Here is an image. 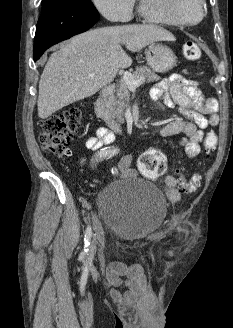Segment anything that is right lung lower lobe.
<instances>
[{"mask_svg":"<svg viewBox=\"0 0 233 328\" xmlns=\"http://www.w3.org/2000/svg\"><path fill=\"white\" fill-rule=\"evenodd\" d=\"M98 19L97 10L43 5L34 38V61L38 60L50 46L86 31Z\"/></svg>","mask_w":233,"mask_h":328,"instance_id":"obj_1","label":"right lung lower lobe"}]
</instances>
